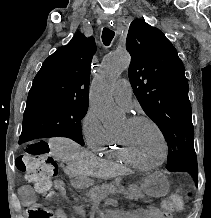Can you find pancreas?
<instances>
[{
  "label": "pancreas",
  "mask_w": 211,
  "mask_h": 218,
  "mask_svg": "<svg viewBox=\"0 0 211 218\" xmlns=\"http://www.w3.org/2000/svg\"><path fill=\"white\" fill-rule=\"evenodd\" d=\"M115 189L116 188H113V186H96V190H90L89 194H86V196H88L90 200H93V205L97 204L96 200H104V195H119V193H123L127 196L128 200H138V198H144V194H142L138 186H129L127 192L118 193Z\"/></svg>",
  "instance_id": "obj_1"
}]
</instances>
